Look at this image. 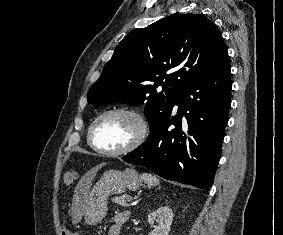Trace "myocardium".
<instances>
[{
  "mask_svg": "<svg viewBox=\"0 0 283 235\" xmlns=\"http://www.w3.org/2000/svg\"><path fill=\"white\" fill-rule=\"evenodd\" d=\"M112 114H125L130 116L135 120L137 123V133L135 134L134 138L132 141L127 144L126 146L119 148L117 150H104L99 148L98 146L95 145L93 141V134L96 125L100 120H102L104 117ZM148 134V126L147 122L140 114L138 111L128 108V107H114L107 109L103 112H101L90 124L89 129H88V143L89 145L98 153L106 156H120V155H126L129 154L136 149H138L146 140Z\"/></svg>",
  "mask_w": 283,
  "mask_h": 235,
  "instance_id": "f54148a6",
  "label": "myocardium"
}]
</instances>
